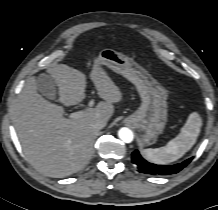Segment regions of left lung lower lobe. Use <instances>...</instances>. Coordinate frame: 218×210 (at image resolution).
Here are the masks:
<instances>
[{
	"label": "left lung lower lobe",
	"mask_w": 218,
	"mask_h": 210,
	"mask_svg": "<svg viewBox=\"0 0 218 210\" xmlns=\"http://www.w3.org/2000/svg\"><path fill=\"white\" fill-rule=\"evenodd\" d=\"M191 160L192 158H189L186 161L175 165H156L144 160L137 150L132 153V162L137 166L139 172L152 175H169L177 173L186 167Z\"/></svg>",
	"instance_id": "0a47b994"
}]
</instances>
